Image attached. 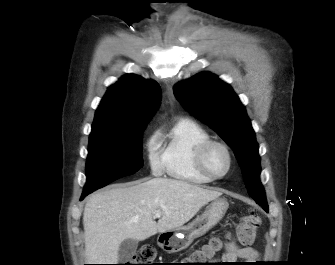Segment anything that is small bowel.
<instances>
[{"label":"small bowel","instance_id":"obj_1","mask_svg":"<svg viewBox=\"0 0 335 265\" xmlns=\"http://www.w3.org/2000/svg\"><path fill=\"white\" fill-rule=\"evenodd\" d=\"M258 259V252L256 249L245 246L241 247L233 242H227L224 245V252L221 257L217 260L221 263L218 264H229L234 263L237 260L246 262H253Z\"/></svg>","mask_w":335,"mask_h":265}]
</instances>
